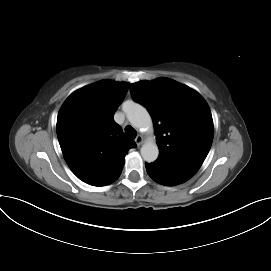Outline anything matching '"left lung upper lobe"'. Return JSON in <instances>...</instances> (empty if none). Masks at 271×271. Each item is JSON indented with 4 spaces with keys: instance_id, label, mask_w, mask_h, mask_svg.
<instances>
[{
    "instance_id": "1",
    "label": "left lung upper lobe",
    "mask_w": 271,
    "mask_h": 271,
    "mask_svg": "<svg viewBox=\"0 0 271 271\" xmlns=\"http://www.w3.org/2000/svg\"><path fill=\"white\" fill-rule=\"evenodd\" d=\"M133 99L149 110L155 127L159 159L197 170L213 140L210 109L202 96L168 78L130 85Z\"/></svg>"
}]
</instances>
